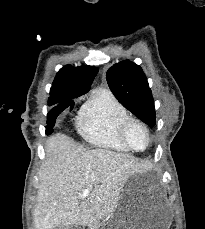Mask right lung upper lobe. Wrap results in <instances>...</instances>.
<instances>
[{"label":"right lung upper lobe","mask_w":205,"mask_h":229,"mask_svg":"<svg viewBox=\"0 0 205 229\" xmlns=\"http://www.w3.org/2000/svg\"><path fill=\"white\" fill-rule=\"evenodd\" d=\"M97 72L98 69L91 66H64L52 84L48 105L72 100L87 93Z\"/></svg>","instance_id":"cb5924a9"}]
</instances>
